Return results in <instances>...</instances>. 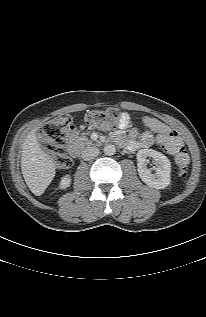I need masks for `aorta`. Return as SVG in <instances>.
Returning a JSON list of instances; mask_svg holds the SVG:
<instances>
[{"label":"aorta","instance_id":"aorta-1","mask_svg":"<svg viewBox=\"0 0 206 317\" xmlns=\"http://www.w3.org/2000/svg\"><path fill=\"white\" fill-rule=\"evenodd\" d=\"M104 153L108 156H112L116 152V147L113 144H108L103 149Z\"/></svg>","mask_w":206,"mask_h":317}]
</instances>
